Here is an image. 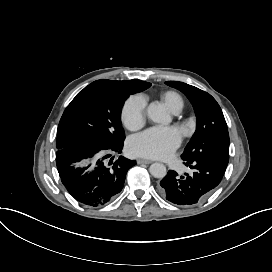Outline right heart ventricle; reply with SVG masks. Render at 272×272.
Instances as JSON below:
<instances>
[{"label":"right heart ventricle","instance_id":"e07e8e85","mask_svg":"<svg viewBox=\"0 0 272 272\" xmlns=\"http://www.w3.org/2000/svg\"><path fill=\"white\" fill-rule=\"evenodd\" d=\"M163 100L165 101L169 109L174 112L181 110L182 108L183 105L182 99L178 94L174 92H167L163 96Z\"/></svg>","mask_w":272,"mask_h":272}]
</instances>
